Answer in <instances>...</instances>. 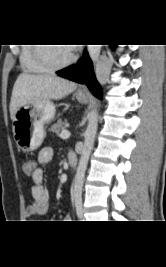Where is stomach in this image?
I'll return each mask as SVG.
<instances>
[{"label":"stomach","instance_id":"1","mask_svg":"<svg viewBox=\"0 0 166 267\" xmlns=\"http://www.w3.org/2000/svg\"><path fill=\"white\" fill-rule=\"evenodd\" d=\"M80 102H86V96L77 92ZM56 107L48 99H38L21 107L12 121L14 139L21 150L30 152L41 146L44 140V125L53 120Z\"/></svg>","mask_w":166,"mask_h":267}]
</instances>
